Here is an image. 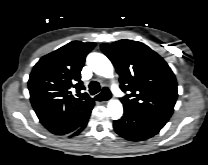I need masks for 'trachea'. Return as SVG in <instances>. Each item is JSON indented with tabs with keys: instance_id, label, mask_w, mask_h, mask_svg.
Here are the masks:
<instances>
[{
	"instance_id": "obj_1",
	"label": "trachea",
	"mask_w": 208,
	"mask_h": 165,
	"mask_svg": "<svg viewBox=\"0 0 208 165\" xmlns=\"http://www.w3.org/2000/svg\"><path fill=\"white\" fill-rule=\"evenodd\" d=\"M100 91V85L97 81H91L89 84V92L91 95L97 94ZM110 98V92L107 88H104L103 91L98 94L95 99L97 101H106Z\"/></svg>"
}]
</instances>
